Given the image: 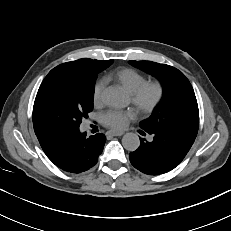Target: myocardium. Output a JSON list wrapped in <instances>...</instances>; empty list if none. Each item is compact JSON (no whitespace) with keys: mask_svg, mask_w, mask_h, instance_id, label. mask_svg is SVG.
<instances>
[{"mask_svg":"<svg viewBox=\"0 0 231 231\" xmlns=\"http://www.w3.org/2000/svg\"><path fill=\"white\" fill-rule=\"evenodd\" d=\"M149 93L152 97L148 98ZM165 95V86L161 81L151 80L144 82L130 94L131 103L142 114L151 113L162 101Z\"/></svg>","mask_w":231,"mask_h":231,"instance_id":"f54148a6","label":"myocardium"}]
</instances>
